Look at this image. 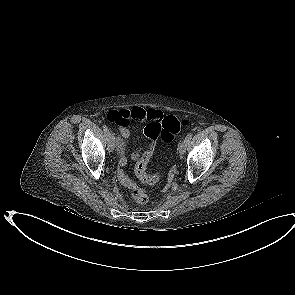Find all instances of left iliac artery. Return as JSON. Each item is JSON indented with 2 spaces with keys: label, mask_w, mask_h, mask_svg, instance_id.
I'll return each instance as SVG.
<instances>
[{
  "label": "left iliac artery",
  "mask_w": 295,
  "mask_h": 295,
  "mask_svg": "<svg viewBox=\"0 0 295 295\" xmlns=\"http://www.w3.org/2000/svg\"><path fill=\"white\" fill-rule=\"evenodd\" d=\"M193 134L192 133H188L185 140H187L188 142L192 139Z\"/></svg>",
  "instance_id": "left-iliac-artery-1"
}]
</instances>
